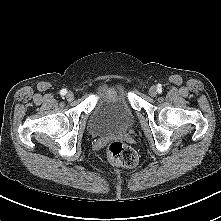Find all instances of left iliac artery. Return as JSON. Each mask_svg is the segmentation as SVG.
Instances as JSON below:
<instances>
[{
    "instance_id": "1",
    "label": "left iliac artery",
    "mask_w": 221,
    "mask_h": 221,
    "mask_svg": "<svg viewBox=\"0 0 221 221\" xmlns=\"http://www.w3.org/2000/svg\"><path fill=\"white\" fill-rule=\"evenodd\" d=\"M158 90H159V92H161V88H159Z\"/></svg>"
}]
</instances>
